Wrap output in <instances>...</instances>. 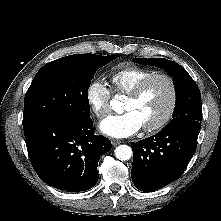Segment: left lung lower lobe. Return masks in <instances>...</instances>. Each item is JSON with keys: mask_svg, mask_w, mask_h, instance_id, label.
I'll use <instances>...</instances> for the list:
<instances>
[{"mask_svg": "<svg viewBox=\"0 0 221 221\" xmlns=\"http://www.w3.org/2000/svg\"><path fill=\"white\" fill-rule=\"evenodd\" d=\"M199 132L197 124L175 125L131 144L134 185L149 192L177 180L196 151Z\"/></svg>", "mask_w": 221, "mask_h": 221, "instance_id": "left-lung-lower-lobe-1", "label": "left lung lower lobe"}]
</instances>
